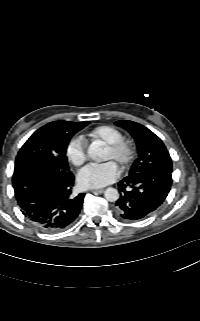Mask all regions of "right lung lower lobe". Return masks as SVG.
Segmentation results:
<instances>
[{
	"mask_svg": "<svg viewBox=\"0 0 200 321\" xmlns=\"http://www.w3.org/2000/svg\"><path fill=\"white\" fill-rule=\"evenodd\" d=\"M13 188L23 215L46 232L69 227L79 215L85 194L74 195V175L43 160L15 165Z\"/></svg>",
	"mask_w": 200,
	"mask_h": 321,
	"instance_id": "1",
	"label": "right lung lower lobe"
}]
</instances>
